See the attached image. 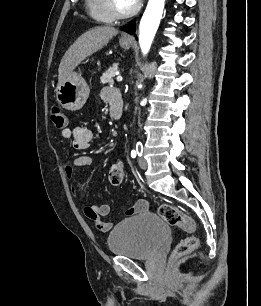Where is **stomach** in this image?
I'll use <instances>...</instances> for the list:
<instances>
[{
    "mask_svg": "<svg viewBox=\"0 0 261 306\" xmlns=\"http://www.w3.org/2000/svg\"><path fill=\"white\" fill-rule=\"evenodd\" d=\"M120 46L129 49V41L120 40ZM89 86L86 81L76 72H72L70 77L58 83L56 90V100L65 109L76 111L83 107L89 97Z\"/></svg>",
    "mask_w": 261,
    "mask_h": 306,
    "instance_id": "0dacf381",
    "label": "stomach"
}]
</instances>
